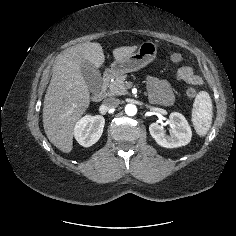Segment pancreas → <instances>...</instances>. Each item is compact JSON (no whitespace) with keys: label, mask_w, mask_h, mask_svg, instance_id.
Masks as SVG:
<instances>
[{"label":"pancreas","mask_w":236,"mask_h":236,"mask_svg":"<svg viewBox=\"0 0 236 236\" xmlns=\"http://www.w3.org/2000/svg\"><path fill=\"white\" fill-rule=\"evenodd\" d=\"M126 78V75L118 76L114 81L110 82L107 90L108 96L127 94V87L129 86V83L126 81Z\"/></svg>","instance_id":"1"}]
</instances>
